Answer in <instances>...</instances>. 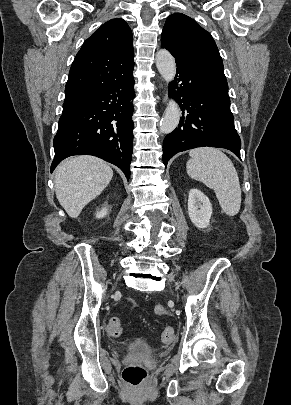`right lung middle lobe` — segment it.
Instances as JSON below:
<instances>
[{
    "mask_svg": "<svg viewBox=\"0 0 291 405\" xmlns=\"http://www.w3.org/2000/svg\"><path fill=\"white\" fill-rule=\"evenodd\" d=\"M75 104H63V113L70 110Z\"/></svg>",
    "mask_w": 291,
    "mask_h": 405,
    "instance_id": "right-lung-middle-lobe-1",
    "label": "right lung middle lobe"
}]
</instances>
